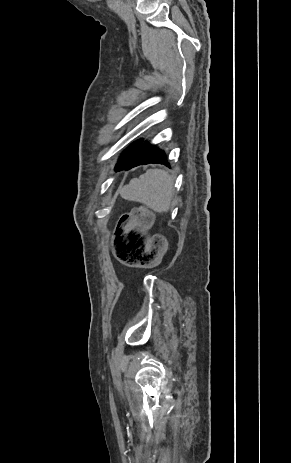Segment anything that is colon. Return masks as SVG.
Returning <instances> with one entry per match:
<instances>
[{
    "instance_id": "obj_1",
    "label": "colon",
    "mask_w": 291,
    "mask_h": 463,
    "mask_svg": "<svg viewBox=\"0 0 291 463\" xmlns=\"http://www.w3.org/2000/svg\"><path fill=\"white\" fill-rule=\"evenodd\" d=\"M153 215L146 207H138L120 217L113 236V254L121 264L138 267L155 260L164 245V238L155 234L148 238L141 229L151 225Z\"/></svg>"
}]
</instances>
